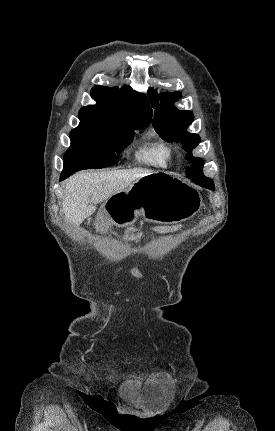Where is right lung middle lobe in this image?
<instances>
[{
    "mask_svg": "<svg viewBox=\"0 0 275 431\" xmlns=\"http://www.w3.org/2000/svg\"><path fill=\"white\" fill-rule=\"evenodd\" d=\"M80 121L70 134L71 146L65 153L63 173L116 164V153L131 142L134 130L144 126H128L115 120Z\"/></svg>",
    "mask_w": 275,
    "mask_h": 431,
    "instance_id": "obj_1",
    "label": "right lung middle lobe"
}]
</instances>
